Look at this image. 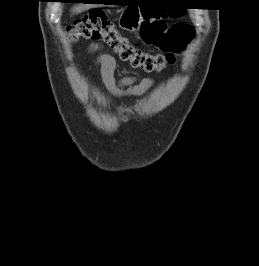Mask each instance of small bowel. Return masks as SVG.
Segmentation results:
<instances>
[{
    "label": "small bowel",
    "mask_w": 259,
    "mask_h": 266,
    "mask_svg": "<svg viewBox=\"0 0 259 266\" xmlns=\"http://www.w3.org/2000/svg\"><path fill=\"white\" fill-rule=\"evenodd\" d=\"M100 48L99 44L93 43L89 50L95 52ZM96 65L99 68L102 82L106 89L116 97H138L143 95L153 84L151 78H145L136 83L135 78H125L116 81L114 72L116 68L115 59L109 54H99L96 58Z\"/></svg>",
    "instance_id": "small-bowel-1"
}]
</instances>
